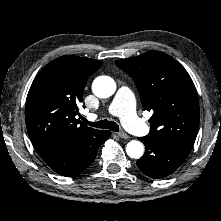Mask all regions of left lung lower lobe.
I'll return each instance as SVG.
<instances>
[{"label":"left lung lower lobe","instance_id":"obj_1","mask_svg":"<svg viewBox=\"0 0 221 221\" xmlns=\"http://www.w3.org/2000/svg\"><path fill=\"white\" fill-rule=\"evenodd\" d=\"M145 154L137 161L138 168L152 178H163L173 173L187 158L191 148L166 139L145 136L139 138Z\"/></svg>","mask_w":221,"mask_h":221}]
</instances>
